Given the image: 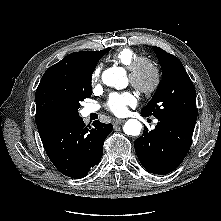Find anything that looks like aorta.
<instances>
[{"label":"aorta","instance_id":"1","mask_svg":"<svg viewBox=\"0 0 221 221\" xmlns=\"http://www.w3.org/2000/svg\"><path fill=\"white\" fill-rule=\"evenodd\" d=\"M102 81L104 84L116 89H122L127 85L125 72L117 67L108 68L102 74ZM142 124L136 119H129L123 126V131L127 135L137 136L140 134Z\"/></svg>","mask_w":221,"mask_h":221}]
</instances>
